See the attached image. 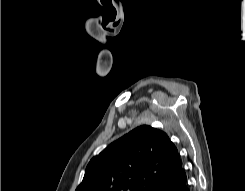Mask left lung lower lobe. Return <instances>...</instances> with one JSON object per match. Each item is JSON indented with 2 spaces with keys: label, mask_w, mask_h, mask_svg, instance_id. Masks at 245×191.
I'll return each mask as SVG.
<instances>
[{
  "label": "left lung lower lobe",
  "mask_w": 245,
  "mask_h": 191,
  "mask_svg": "<svg viewBox=\"0 0 245 191\" xmlns=\"http://www.w3.org/2000/svg\"><path fill=\"white\" fill-rule=\"evenodd\" d=\"M154 191H189L187 175L180 158Z\"/></svg>",
  "instance_id": "left-lung-lower-lobe-1"
}]
</instances>
